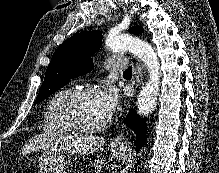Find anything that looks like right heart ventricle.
I'll return each mask as SVG.
<instances>
[{
  "label": "right heart ventricle",
  "mask_w": 219,
  "mask_h": 173,
  "mask_svg": "<svg viewBox=\"0 0 219 173\" xmlns=\"http://www.w3.org/2000/svg\"><path fill=\"white\" fill-rule=\"evenodd\" d=\"M72 91L71 87H65L55 92L49 99L44 112V130L54 135H69L72 132L63 124L60 117V106L65 97Z\"/></svg>",
  "instance_id": "obj_1"
}]
</instances>
